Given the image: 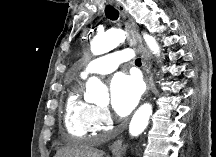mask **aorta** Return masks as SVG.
<instances>
[{
    "instance_id": "aorta-1",
    "label": "aorta",
    "mask_w": 216,
    "mask_h": 157,
    "mask_svg": "<svg viewBox=\"0 0 216 157\" xmlns=\"http://www.w3.org/2000/svg\"><path fill=\"white\" fill-rule=\"evenodd\" d=\"M126 38V32L120 29H112L102 35L96 36L91 42V51L94 55L105 54ZM145 42L153 54L160 55V47L153 36L144 34ZM87 95L85 99L87 101H93L97 104L109 101V95L107 88L97 77H91L86 83ZM152 105L149 103L143 104L135 112L129 125V133L131 136H139L148 126L150 116L152 115Z\"/></svg>"
}]
</instances>
